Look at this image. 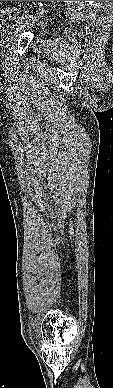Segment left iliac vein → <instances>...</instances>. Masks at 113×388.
Instances as JSON below:
<instances>
[{
	"mask_svg": "<svg viewBox=\"0 0 113 388\" xmlns=\"http://www.w3.org/2000/svg\"><path fill=\"white\" fill-rule=\"evenodd\" d=\"M44 15V11L38 10L37 14L33 18H27L23 23H16L12 25L11 32L9 35V41L15 40V38L18 36L20 32L25 30L26 28L32 27L35 23H37L40 18H42Z\"/></svg>",
	"mask_w": 113,
	"mask_h": 388,
	"instance_id": "obj_1",
	"label": "left iliac vein"
}]
</instances>
